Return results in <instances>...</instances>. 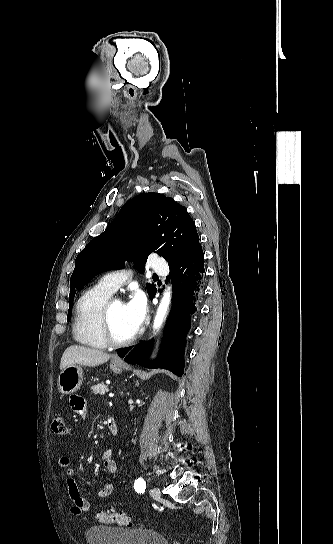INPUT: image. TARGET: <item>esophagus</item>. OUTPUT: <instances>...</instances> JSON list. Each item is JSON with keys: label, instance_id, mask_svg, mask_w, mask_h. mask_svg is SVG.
Returning a JSON list of instances; mask_svg holds the SVG:
<instances>
[{"label": "esophagus", "instance_id": "1", "mask_svg": "<svg viewBox=\"0 0 333 544\" xmlns=\"http://www.w3.org/2000/svg\"><path fill=\"white\" fill-rule=\"evenodd\" d=\"M115 360H116V361H120V359H119V358H115Z\"/></svg>", "mask_w": 333, "mask_h": 544}]
</instances>
